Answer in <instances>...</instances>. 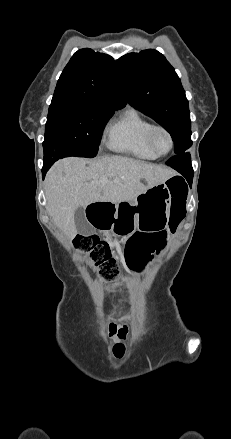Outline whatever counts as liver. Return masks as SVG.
<instances>
[{
	"mask_svg": "<svg viewBox=\"0 0 231 439\" xmlns=\"http://www.w3.org/2000/svg\"><path fill=\"white\" fill-rule=\"evenodd\" d=\"M175 175L167 166L121 156L91 161L65 158L56 162L46 175V209L55 224L72 239L77 234L74 215L78 208L96 202L131 201ZM102 179L108 183L101 184Z\"/></svg>",
	"mask_w": 231,
	"mask_h": 439,
	"instance_id": "6515ba94",
	"label": "liver"
}]
</instances>
